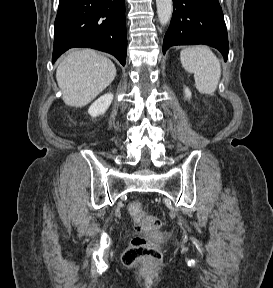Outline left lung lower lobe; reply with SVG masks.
<instances>
[{
  "label": "left lung lower lobe",
  "instance_id": "obj_1",
  "mask_svg": "<svg viewBox=\"0 0 273 288\" xmlns=\"http://www.w3.org/2000/svg\"><path fill=\"white\" fill-rule=\"evenodd\" d=\"M206 44L228 58V37L218 0H173V15L163 53L174 45Z\"/></svg>",
  "mask_w": 273,
  "mask_h": 288
}]
</instances>
